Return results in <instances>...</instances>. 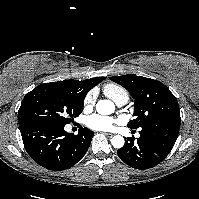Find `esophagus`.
Listing matches in <instances>:
<instances>
[{
  "label": "esophagus",
  "mask_w": 199,
  "mask_h": 199,
  "mask_svg": "<svg viewBox=\"0 0 199 199\" xmlns=\"http://www.w3.org/2000/svg\"><path fill=\"white\" fill-rule=\"evenodd\" d=\"M107 137L111 138L114 134L112 133H104Z\"/></svg>",
  "instance_id": "esophagus-1"
}]
</instances>
